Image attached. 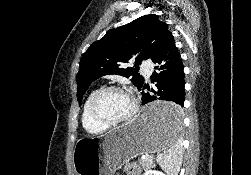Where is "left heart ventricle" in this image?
Masks as SVG:
<instances>
[{
  "mask_svg": "<svg viewBox=\"0 0 251 175\" xmlns=\"http://www.w3.org/2000/svg\"><path fill=\"white\" fill-rule=\"evenodd\" d=\"M131 108L130 97L117 90L106 93L98 104L99 112L111 121L123 118L131 111Z\"/></svg>",
  "mask_w": 251,
  "mask_h": 175,
  "instance_id": "1",
  "label": "left heart ventricle"
}]
</instances>
